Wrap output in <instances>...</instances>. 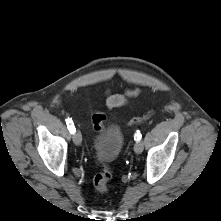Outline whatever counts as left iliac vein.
Here are the masks:
<instances>
[{"mask_svg": "<svg viewBox=\"0 0 221 221\" xmlns=\"http://www.w3.org/2000/svg\"><path fill=\"white\" fill-rule=\"evenodd\" d=\"M134 151L137 154H140L143 151V143L141 141H137L134 145Z\"/></svg>", "mask_w": 221, "mask_h": 221, "instance_id": "left-iliac-vein-1", "label": "left iliac vein"}]
</instances>
